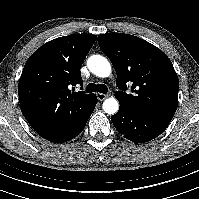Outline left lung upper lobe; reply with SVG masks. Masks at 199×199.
<instances>
[{"instance_id":"obj_1","label":"left lung upper lobe","mask_w":199,"mask_h":199,"mask_svg":"<svg viewBox=\"0 0 199 199\" xmlns=\"http://www.w3.org/2000/svg\"><path fill=\"white\" fill-rule=\"evenodd\" d=\"M101 50L116 72L118 100L137 110L170 122L178 105L179 81L170 59L156 46L129 34L98 36ZM133 94H127V85Z\"/></svg>"}]
</instances>
